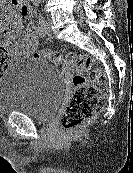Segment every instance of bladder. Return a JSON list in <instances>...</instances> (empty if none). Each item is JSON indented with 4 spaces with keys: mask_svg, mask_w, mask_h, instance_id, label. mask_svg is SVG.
Listing matches in <instances>:
<instances>
[{
    "mask_svg": "<svg viewBox=\"0 0 133 173\" xmlns=\"http://www.w3.org/2000/svg\"><path fill=\"white\" fill-rule=\"evenodd\" d=\"M65 90L55 66L32 58L16 59L0 77V114L23 113L48 121L59 108Z\"/></svg>",
    "mask_w": 133,
    "mask_h": 173,
    "instance_id": "31cf9c89",
    "label": "bladder"
}]
</instances>
